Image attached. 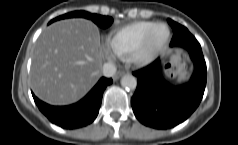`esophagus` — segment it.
<instances>
[{
  "label": "esophagus",
  "mask_w": 238,
  "mask_h": 145,
  "mask_svg": "<svg viewBox=\"0 0 238 145\" xmlns=\"http://www.w3.org/2000/svg\"><path fill=\"white\" fill-rule=\"evenodd\" d=\"M123 74H124L123 71H118V72L114 75L113 79H114V80H118Z\"/></svg>",
  "instance_id": "obj_1"
}]
</instances>
